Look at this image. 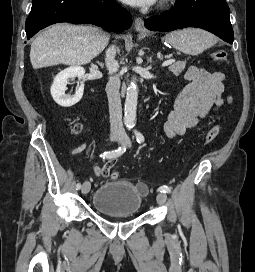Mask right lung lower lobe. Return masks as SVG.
I'll return each mask as SVG.
<instances>
[{
    "label": "right lung lower lobe",
    "mask_w": 255,
    "mask_h": 272,
    "mask_svg": "<svg viewBox=\"0 0 255 272\" xmlns=\"http://www.w3.org/2000/svg\"><path fill=\"white\" fill-rule=\"evenodd\" d=\"M59 22L94 24L120 32L131 26L132 19L115 0H33L25 23L27 38Z\"/></svg>",
    "instance_id": "98d812e1"
}]
</instances>
